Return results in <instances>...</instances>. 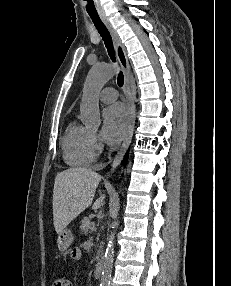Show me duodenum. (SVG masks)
I'll return each mask as SVG.
<instances>
[{"label":"duodenum","instance_id":"duodenum-1","mask_svg":"<svg viewBox=\"0 0 231 286\" xmlns=\"http://www.w3.org/2000/svg\"><path fill=\"white\" fill-rule=\"evenodd\" d=\"M103 271V263L102 261L97 262L95 269H94V276L96 279H100L102 276Z\"/></svg>","mask_w":231,"mask_h":286}]
</instances>
